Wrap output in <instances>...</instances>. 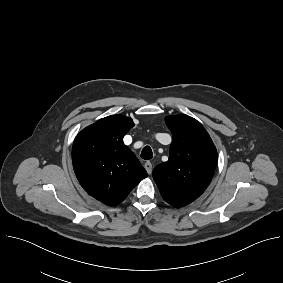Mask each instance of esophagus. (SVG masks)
I'll list each match as a JSON object with an SVG mask.
<instances>
[{"mask_svg": "<svg viewBox=\"0 0 283 283\" xmlns=\"http://www.w3.org/2000/svg\"><path fill=\"white\" fill-rule=\"evenodd\" d=\"M144 167L147 171L148 174H151L152 173V163L150 161H147L145 164H144Z\"/></svg>", "mask_w": 283, "mask_h": 283, "instance_id": "obj_1", "label": "esophagus"}]
</instances>
